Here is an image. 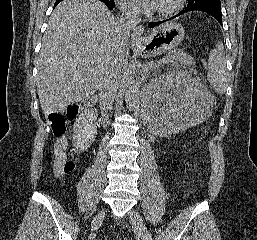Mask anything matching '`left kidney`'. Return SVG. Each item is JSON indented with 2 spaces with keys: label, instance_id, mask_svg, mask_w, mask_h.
<instances>
[{
  "label": "left kidney",
  "instance_id": "left-kidney-1",
  "mask_svg": "<svg viewBox=\"0 0 257 240\" xmlns=\"http://www.w3.org/2000/svg\"><path fill=\"white\" fill-rule=\"evenodd\" d=\"M208 93L188 72L171 71L143 89L144 116L152 133L167 137L206 119Z\"/></svg>",
  "mask_w": 257,
  "mask_h": 240
}]
</instances>
